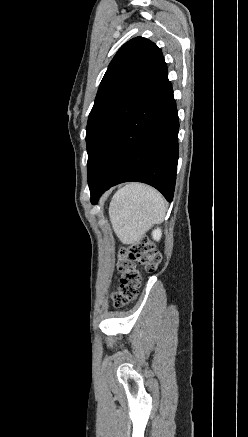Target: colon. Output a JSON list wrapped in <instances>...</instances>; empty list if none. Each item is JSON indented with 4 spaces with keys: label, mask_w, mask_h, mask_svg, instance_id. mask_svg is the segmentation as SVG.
Here are the masks:
<instances>
[{
    "label": "colon",
    "mask_w": 248,
    "mask_h": 437,
    "mask_svg": "<svg viewBox=\"0 0 248 437\" xmlns=\"http://www.w3.org/2000/svg\"><path fill=\"white\" fill-rule=\"evenodd\" d=\"M160 262L161 255L149 240L141 239L121 248L118 255L121 278L119 288L112 296L114 306L123 307L136 297L142 281L137 266L153 272Z\"/></svg>",
    "instance_id": "5ec220e1"
}]
</instances>
